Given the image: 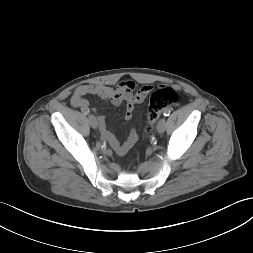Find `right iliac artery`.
Instances as JSON below:
<instances>
[{"label":"right iliac artery","instance_id":"right-iliac-artery-1","mask_svg":"<svg viewBox=\"0 0 253 253\" xmlns=\"http://www.w3.org/2000/svg\"><path fill=\"white\" fill-rule=\"evenodd\" d=\"M84 114H88L89 113V109H86L83 111Z\"/></svg>","mask_w":253,"mask_h":253}]
</instances>
